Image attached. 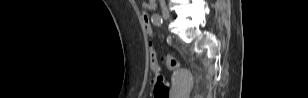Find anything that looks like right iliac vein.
<instances>
[{"label":"right iliac vein","mask_w":308,"mask_h":98,"mask_svg":"<svg viewBox=\"0 0 308 98\" xmlns=\"http://www.w3.org/2000/svg\"><path fill=\"white\" fill-rule=\"evenodd\" d=\"M161 12H162V15L165 19H170V12L169 10L167 9V7L163 6L161 8Z\"/></svg>","instance_id":"1"}]
</instances>
